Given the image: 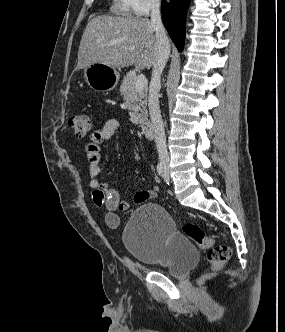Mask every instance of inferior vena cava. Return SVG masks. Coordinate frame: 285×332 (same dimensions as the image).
<instances>
[{"label": "inferior vena cava", "instance_id": "1", "mask_svg": "<svg viewBox=\"0 0 285 332\" xmlns=\"http://www.w3.org/2000/svg\"><path fill=\"white\" fill-rule=\"evenodd\" d=\"M151 25L156 32L158 52L156 61L153 64L152 77L149 85L148 107L151 121L154 126L155 143L159 159L162 162H169L158 93L160 90L161 74L170 54V43L161 19L160 0H152L151 2Z\"/></svg>", "mask_w": 285, "mask_h": 332}]
</instances>
